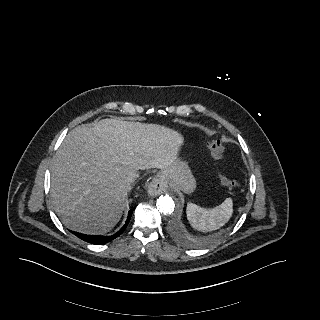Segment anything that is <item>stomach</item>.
<instances>
[{"mask_svg": "<svg viewBox=\"0 0 320 320\" xmlns=\"http://www.w3.org/2000/svg\"><path fill=\"white\" fill-rule=\"evenodd\" d=\"M160 176L166 185L176 187L184 193H192L196 188V180L188 165L179 158L163 169Z\"/></svg>", "mask_w": 320, "mask_h": 320, "instance_id": "0dacf381", "label": "stomach"}]
</instances>
